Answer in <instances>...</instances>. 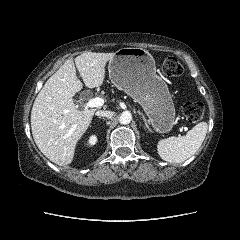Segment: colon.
<instances>
[{
	"instance_id": "5ec220e1",
	"label": "colon",
	"mask_w": 240,
	"mask_h": 240,
	"mask_svg": "<svg viewBox=\"0 0 240 240\" xmlns=\"http://www.w3.org/2000/svg\"><path fill=\"white\" fill-rule=\"evenodd\" d=\"M163 73L168 77H177L183 73V67L176 57H167L162 65ZM183 114L189 122L196 123L204 115V105L201 102L191 101L183 105Z\"/></svg>"
}]
</instances>
